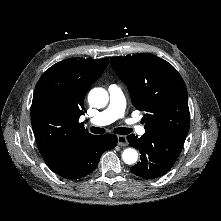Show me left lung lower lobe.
<instances>
[{"label": "left lung lower lobe", "instance_id": "left-lung-lower-lobe-1", "mask_svg": "<svg viewBox=\"0 0 221 221\" xmlns=\"http://www.w3.org/2000/svg\"><path fill=\"white\" fill-rule=\"evenodd\" d=\"M130 146L141 153V161L131 171L142 178L154 179L167 173L176 162L185 139L145 132L140 138L128 135Z\"/></svg>", "mask_w": 221, "mask_h": 221}]
</instances>
